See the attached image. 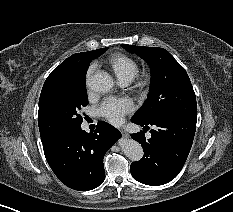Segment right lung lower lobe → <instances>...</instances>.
I'll return each instance as SVG.
<instances>
[{"instance_id": "1", "label": "right lung lower lobe", "mask_w": 233, "mask_h": 212, "mask_svg": "<svg viewBox=\"0 0 233 212\" xmlns=\"http://www.w3.org/2000/svg\"><path fill=\"white\" fill-rule=\"evenodd\" d=\"M121 137L110 124L100 121L94 132L77 127L50 145L44 154L55 175L68 187L92 190L105 179L104 154Z\"/></svg>"}]
</instances>
